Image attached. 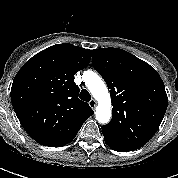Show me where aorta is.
I'll return each mask as SVG.
<instances>
[{
	"label": "aorta",
	"mask_w": 178,
	"mask_h": 178,
	"mask_svg": "<svg viewBox=\"0 0 178 178\" xmlns=\"http://www.w3.org/2000/svg\"><path fill=\"white\" fill-rule=\"evenodd\" d=\"M85 84L93 97L98 101L96 119L101 124H106L111 118V99L108 89L101 77L94 72L85 73Z\"/></svg>",
	"instance_id": "obj_1"
}]
</instances>
